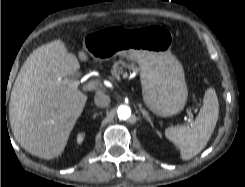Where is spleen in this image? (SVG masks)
Instances as JSON below:
<instances>
[{
  "label": "spleen",
  "instance_id": "spleen-1",
  "mask_svg": "<svg viewBox=\"0 0 245 187\" xmlns=\"http://www.w3.org/2000/svg\"><path fill=\"white\" fill-rule=\"evenodd\" d=\"M219 116V103L213 88L204 94L203 106L190 126H172L165 130V136L178 146L183 160H189L207 145Z\"/></svg>",
  "mask_w": 245,
  "mask_h": 187
}]
</instances>
